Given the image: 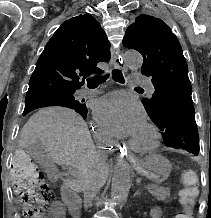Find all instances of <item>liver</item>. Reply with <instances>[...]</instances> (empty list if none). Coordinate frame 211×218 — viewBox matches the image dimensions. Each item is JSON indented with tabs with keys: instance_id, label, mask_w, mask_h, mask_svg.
<instances>
[{
	"instance_id": "6515ba94",
	"label": "liver",
	"mask_w": 211,
	"mask_h": 218,
	"mask_svg": "<svg viewBox=\"0 0 211 218\" xmlns=\"http://www.w3.org/2000/svg\"><path fill=\"white\" fill-rule=\"evenodd\" d=\"M27 146L49 152L58 164L63 162L78 168L80 182L85 172L101 174L106 180L108 166L96 152L87 124L73 110L57 106L38 110L20 132L18 148Z\"/></svg>"
}]
</instances>
